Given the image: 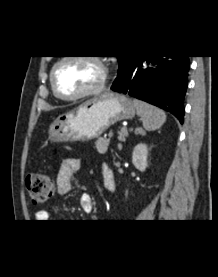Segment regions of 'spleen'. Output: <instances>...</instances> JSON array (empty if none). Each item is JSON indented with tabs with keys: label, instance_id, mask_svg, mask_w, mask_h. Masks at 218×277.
<instances>
[{
	"label": "spleen",
	"instance_id": "3e777b00",
	"mask_svg": "<svg viewBox=\"0 0 218 277\" xmlns=\"http://www.w3.org/2000/svg\"><path fill=\"white\" fill-rule=\"evenodd\" d=\"M133 104L141 117L145 130L153 131L159 129L166 121V114L161 109L138 99H133Z\"/></svg>",
	"mask_w": 218,
	"mask_h": 277
}]
</instances>
